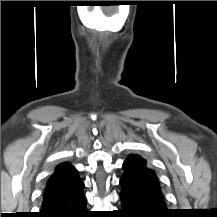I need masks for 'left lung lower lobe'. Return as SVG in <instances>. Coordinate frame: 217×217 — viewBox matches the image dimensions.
<instances>
[{
    "label": "left lung lower lobe",
    "mask_w": 217,
    "mask_h": 217,
    "mask_svg": "<svg viewBox=\"0 0 217 217\" xmlns=\"http://www.w3.org/2000/svg\"><path fill=\"white\" fill-rule=\"evenodd\" d=\"M120 179V199L125 217H169L165 196L160 185L143 182L132 173V166L124 164Z\"/></svg>",
    "instance_id": "1"
}]
</instances>
